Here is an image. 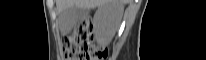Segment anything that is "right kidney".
Listing matches in <instances>:
<instances>
[{"label":"right kidney","instance_id":"ca27d5eb","mask_svg":"<svg viewBox=\"0 0 206 60\" xmlns=\"http://www.w3.org/2000/svg\"><path fill=\"white\" fill-rule=\"evenodd\" d=\"M123 13L122 4L119 2H111L101 6L95 14V26L97 40L103 43H108L119 22Z\"/></svg>","mask_w":206,"mask_h":60}]
</instances>
